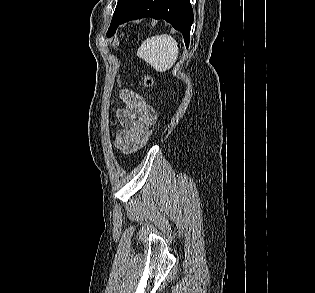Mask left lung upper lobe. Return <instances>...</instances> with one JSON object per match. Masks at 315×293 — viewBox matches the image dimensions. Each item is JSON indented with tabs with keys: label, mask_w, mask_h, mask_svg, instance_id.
Here are the masks:
<instances>
[{
	"label": "left lung upper lobe",
	"mask_w": 315,
	"mask_h": 293,
	"mask_svg": "<svg viewBox=\"0 0 315 293\" xmlns=\"http://www.w3.org/2000/svg\"><path fill=\"white\" fill-rule=\"evenodd\" d=\"M139 0H118L107 36L114 35L120 20L138 3Z\"/></svg>",
	"instance_id": "left-lung-upper-lobe-1"
}]
</instances>
